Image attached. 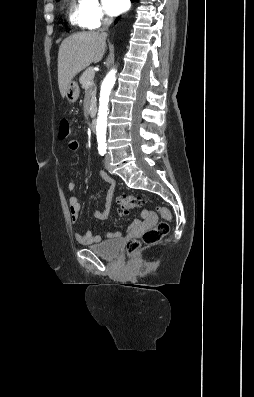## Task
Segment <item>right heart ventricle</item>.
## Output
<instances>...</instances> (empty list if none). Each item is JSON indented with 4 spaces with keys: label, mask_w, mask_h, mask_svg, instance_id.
<instances>
[{
    "label": "right heart ventricle",
    "mask_w": 254,
    "mask_h": 397,
    "mask_svg": "<svg viewBox=\"0 0 254 397\" xmlns=\"http://www.w3.org/2000/svg\"><path fill=\"white\" fill-rule=\"evenodd\" d=\"M68 18L70 23L73 26H77V27H83L80 19H79V15H78V5L71 3L69 6V11H68Z\"/></svg>",
    "instance_id": "right-heart-ventricle-1"
}]
</instances>
